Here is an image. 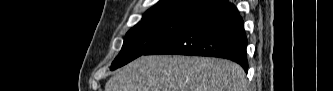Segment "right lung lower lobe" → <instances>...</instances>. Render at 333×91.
<instances>
[{
	"instance_id": "obj_1",
	"label": "right lung lower lobe",
	"mask_w": 333,
	"mask_h": 91,
	"mask_svg": "<svg viewBox=\"0 0 333 91\" xmlns=\"http://www.w3.org/2000/svg\"><path fill=\"white\" fill-rule=\"evenodd\" d=\"M247 38L236 7L218 1L144 55L180 54L230 59L248 71Z\"/></svg>"
}]
</instances>
